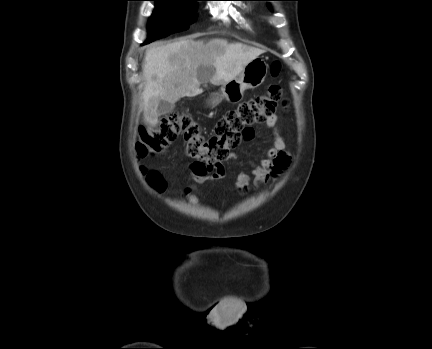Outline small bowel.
I'll use <instances>...</instances> for the list:
<instances>
[{
  "label": "small bowel",
  "instance_id": "small-bowel-1",
  "mask_svg": "<svg viewBox=\"0 0 432 349\" xmlns=\"http://www.w3.org/2000/svg\"><path fill=\"white\" fill-rule=\"evenodd\" d=\"M277 122L278 118L276 115L270 116L265 121V125L271 129V144L266 153L258 161L251 163L249 172L241 171L238 173L236 178L238 188H247L251 184L252 178L258 183L266 182L270 177L280 173L287 167L289 156L286 152V142L277 127ZM189 169L193 180L198 184L216 181L225 176L222 166L209 169L198 162H194L190 165ZM188 192H190V189H188ZM189 200L194 204L199 203L196 193H190Z\"/></svg>",
  "mask_w": 432,
  "mask_h": 349
}]
</instances>
